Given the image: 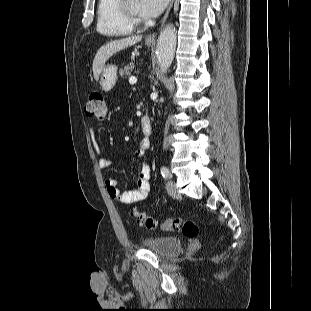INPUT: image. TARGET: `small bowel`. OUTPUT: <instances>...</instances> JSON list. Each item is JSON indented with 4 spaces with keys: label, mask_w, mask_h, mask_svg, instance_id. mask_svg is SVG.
Masks as SVG:
<instances>
[{
    "label": "small bowel",
    "mask_w": 311,
    "mask_h": 311,
    "mask_svg": "<svg viewBox=\"0 0 311 311\" xmlns=\"http://www.w3.org/2000/svg\"><path fill=\"white\" fill-rule=\"evenodd\" d=\"M100 124L93 125L90 127V136L93 140L94 149L98 156V166L101 169H107L115 165L112 159H109L101 154V149L99 144L96 142V133ZM150 146V141L148 138H142L139 147L136 151L138 157H143L148 151ZM107 192L109 196L123 204H133L144 200L150 191V168L148 164L142 163L139 170V175L137 177L136 185L137 188L130 191H121L118 188L117 181L113 178H108L105 181Z\"/></svg>",
    "instance_id": "obj_1"
}]
</instances>
